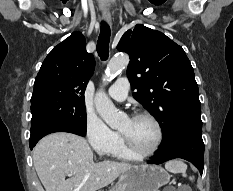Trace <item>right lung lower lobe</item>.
Instances as JSON below:
<instances>
[{"label": "right lung lower lobe", "instance_id": "98d812e1", "mask_svg": "<svg viewBox=\"0 0 233 191\" xmlns=\"http://www.w3.org/2000/svg\"><path fill=\"white\" fill-rule=\"evenodd\" d=\"M53 132H69V133H74L80 136H85L82 133H79L71 128H68L66 126H44L39 128L38 130H35L31 132L30 136V149L32 150L33 147L36 145V143L45 135L53 133Z\"/></svg>", "mask_w": 233, "mask_h": 191}]
</instances>
